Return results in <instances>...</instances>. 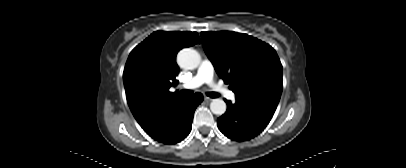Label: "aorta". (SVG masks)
<instances>
[{"instance_id": "obj_1", "label": "aorta", "mask_w": 406, "mask_h": 168, "mask_svg": "<svg viewBox=\"0 0 406 168\" xmlns=\"http://www.w3.org/2000/svg\"><path fill=\"white\" fill-rule=\"evenodd\" d=\"M200 62V54L192 48L182 49L177 55V63L184 69H195L200 65ZM226 108V103L220 98L213 99L210 103V109L215 115L224 114Z\"/></svg>"}]
</instances>
